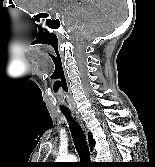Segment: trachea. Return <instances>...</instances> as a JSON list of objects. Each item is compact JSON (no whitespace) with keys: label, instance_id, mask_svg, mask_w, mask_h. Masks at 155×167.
Returning <instances> with one entry per match:
<instances>
[{"label":"trachea","instance_id":"1","mask_svg":"<svg viewBox=\"0 0 155 167\" xmlns=\"http://www.w3.org/2000/svg\"><path fill=\"white\" fill-rule=\"evenodd\" d=\"M63 114L68 119L72 138L81 162H90L89 148L83 130L81 129L80 125L71 117L70 111H63Z\"/></svg>","mask_w":155,"mask_h":167}]
</instances>
